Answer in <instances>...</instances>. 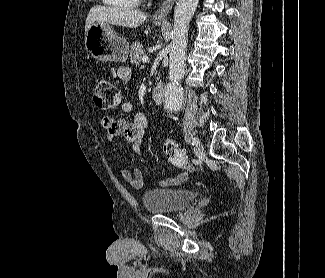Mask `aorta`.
<instances>
[{
    "instance_id": "762f6f07",
    "label": "aorta",
    "mask_w": 325,
    "mask_h": 278,
    "mask_svg": "<svg viewBox=\"0 0 325 278\" xmlns=\"http://www.w3.org/2000/svg\"><path fill=\"white\" fill-rule=\"evenodd\" d=\"M199 0H178L174 10L173 40L169 53V83L165 87V107L175 111L183 102L180 80L185 74V53L188 44L189 23L195 13Z\"/></svg>"
}]
</instances>
